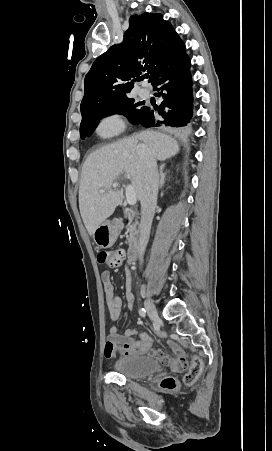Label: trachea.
<instances>
[{"label": "trachea", "mask_w": 272, "mask_h": 451, "mask_svg": "<svg viewBox=\"0 0 272 451\" xmlns=\"http://www.w3.org/2000/svg\"><path fill=\"white\" fill-rule=\"evenodd\" d=\"M144 78H148V76L144 75V76L142 77V79H144Z\"/></svg>", "instance_id": "3493384b"}]
</instances>
